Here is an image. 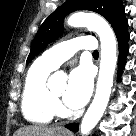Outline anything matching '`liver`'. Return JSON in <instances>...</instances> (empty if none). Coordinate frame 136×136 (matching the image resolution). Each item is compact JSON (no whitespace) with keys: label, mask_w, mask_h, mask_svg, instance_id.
I'll use <instances>...</instances> for the list:
<instances>
[{"label":"liver","mask_w":136,"mask_h":136,"mask_svg":"<svg viewBox=\"0 0 136 136\" xmlns=\"http://www.w3.org/2000/svg\"><path fill=\"white\" fill-rule=\"evenodd\" d=\"M14 136H56V130L39 126H27L18 129Z\"/></svg>","instance_id":"6515ba94"}]
</instances>
